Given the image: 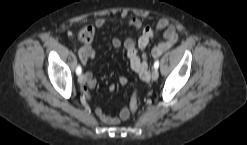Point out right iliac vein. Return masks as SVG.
Here are the masks:
<instances>
[{"mask_svg": "<svg viewBox=\"0 0 247 145\" xmlns=\"http://www.w3.org/2000/svg\"><path fill=\"white\" fill-rule=\"evenodd\" d=\"M78 82H79L80 84H85V82H86V77H85L84 74L79 75V77H78Z\"/></svg>", "mask_w": 247, "mask_h": 145, "instance_id": "1", "label": "right iliac vein"}]
</instances>
